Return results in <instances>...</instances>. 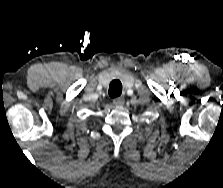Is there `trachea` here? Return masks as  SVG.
<instances>
[{
  "label": "trachea",
  "instance_id": "1",
  "mask_svg": "<svg viewBox=\"0 0 223 188\" xmlns=\"http://www.w3.org/2000/svg\"><path fill=\"white\" fill-rule=\"evenodd\" d=\"M122 93V84L119 80H113L109 85V96L115 98Z\"/></svg>",
  "mask_w": 223,
  "mask_h": 188
}]
</instances>
